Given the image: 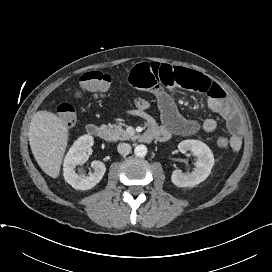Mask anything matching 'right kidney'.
Returning <instances> with one entry per match:
<instances>
[{"label": "right kidney", "mask_w": 272, "mask_h": 272, "mask_svg": "<svg viewBox=\"0 0 272 272\" xmlns=\"http://www.w3.org/2000/svg\"><path fill=\"white\" fill-rule=\"evenodd\" d=\"M94 139L91 135L79 137L69 149L63 164V175L65 180L75 189L89 190L93 188L103 178L106 167L101 161H93L94 172L89 176L85 174L78 175L75 169L78 165L88 160L87 150L93 146Z\"/></svg>", "instance_id": "right-kidney-1"}]
</instances>
